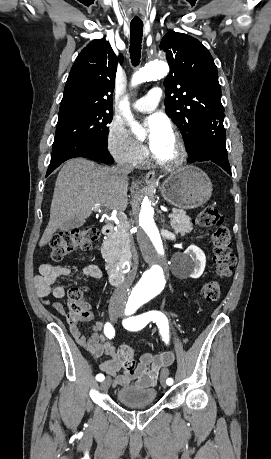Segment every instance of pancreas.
Instances as JSON below:
<instances>
[{
	"label": "pancreas",
	"instance_id": "pancreas-1",
	"mask_svg": "<svg viewBox=\"0 0 271 459\" xmlns=\"http://www.w3.org/2000/svg\"><path fill=\"white\" fill-rule=\"evenodd\" d=\"M174 213V217H171V226L174 228L175 233H181V235H185V233H190L192 231V224L190 222L191 218L189 216H185L186 212L184 210H172ZM171 215V214H170ZM120 224L114 233H109L108 239H105L104 243H102V255L103 257H109V255L116 256H124L127 253V250L124 247L129 245V235L128 229L130 228L129 222H127V218L121 216L119 218Z\"/></svg>",
	"mask_w": 271,
	"mask_h": 459
}]
</instances>
